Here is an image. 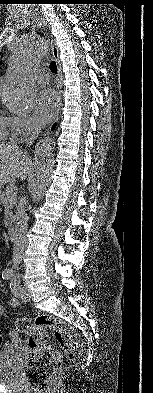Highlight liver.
<instances>
[{
  "label": "liver",
  "instance_id": "obj_1",
  "mask_svg": "<svg viewBox=\"0 0 153 393\" xmlns=\"http://www.w3.org/2000/svg\"><path fill=\"white\" fill-rule=\"evenodd\" d=\"M32 171V159L14 144H0V189L9 181L25 180Z\"/></svg>",
  "mask_w": 153,
  "mask_h": 393
}]
</instances>
